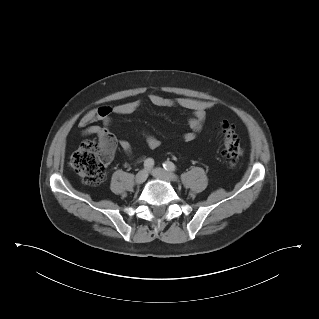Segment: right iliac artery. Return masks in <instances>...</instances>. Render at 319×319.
Instances as JSON below:
<instances>
[{"instance_id":"1","label":"right iliac artery","mask_w":319,"mask_h":319,"mask_svg":"<svg viewBox=\"0 0 319 319\" xmlns=\"http://www.w3.org/2000/svg\"><path fill=\"white\" fill-rule=\"evenodd\" d=\"M153 165H154V160L151 158L146 159L144 162V167L147 170H150L153 167Z\"/></svg>"}]
</instances>
